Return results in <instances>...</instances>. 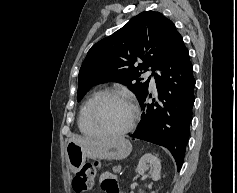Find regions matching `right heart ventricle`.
I'll list each match as a JSON object with an SVG mask.
<instances>
[{
    "label": "right heart ventricle",
    "mask_w": 237,
    "mask_h": 193,
    "mask_svg": "<svg viewBox=\"0 0 237 193\" xmlns=\"http://www.w3.org/2000/svg\"><path fill=\"white\" fill-rule=\"evenodd\" d=\"M98 94H100V92H95L91 96H89L80 108L79 117H78V127L80 131L87 136H92V137L100 136L95 131V129L91 126L89 122V118H88L90 105L93 102V100L97 97Z\"/></svg>",
    "instance_id": "e07e8e85"
}]
</instances>
